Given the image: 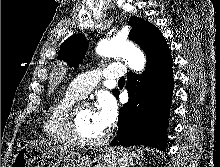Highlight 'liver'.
<instances>
[{
    "label": "liver",
    "instance_id": "liver-1",
    "mask_svg": "<svg viewBox=\"0 0 220 167\" xmlns=\"http://www.w3.org/2000/svg\"><path fill=\"white\" fill-rule=\"evenodd\" d=\"M36 143H43V144H48L51 145L52 142H48V141H35Z\"/></svg>",
    "mask_w": 220,
    "mask_h": 167
}]
</instances>
